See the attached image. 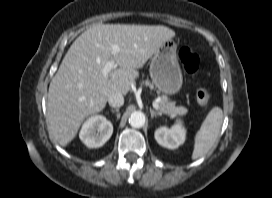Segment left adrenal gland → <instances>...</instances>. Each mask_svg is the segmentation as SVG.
Returning a JSON list of instances; mask_svg holds the SVG:
<instances>
[{
    "label": "left adrenal gland",
    "mask_w": 272,
    "mask_h": 198,
    "mask_svg": "<svg viewBox=\"0 0 272 198\" xmlns=\"http://www.w3.org/2000/svg\"><path fill=\"white\" fill-rule=\"evenodd\" d=\"M150 113H151V118L153 119L154 117H157V116H162V113L160 112H156L154 111L153 109L150 108Z\"/></svg>",
    "instance_id": "1"
}]
</instances>
